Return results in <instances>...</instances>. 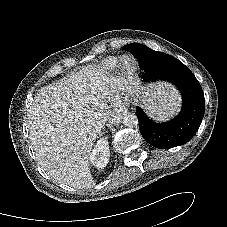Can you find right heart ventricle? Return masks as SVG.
Returning a JSON list of instances; mask_svg holds the SVG:
<instances>
[{"mask_svg": "<svg viewBox=\"0 0 227 227\" xmlns=\"http://www.w3.org/2000/svg\"><path fill=\"white\" fill-rule=\"evenodd\" d=\"M118 63H119V58L109 57L103 61L102 66L107 70H113L118 65Z\"/></svg>", "mask_w": 227, "mask_h": 227, "instance_id": "e07e8e85", "label": "right heart ventricle"}]
</instances>
